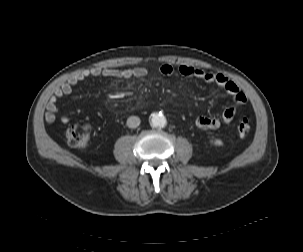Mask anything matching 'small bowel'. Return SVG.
<instances>
[{"label": "small bowel", "instance_id": "obj_1", "mask_svg": "<svg viewBox=\"0 0 303 252\" xmlns=\"http://www.w3.org/2000/svg\"><path fill=\"white\" fill-rule=\"evenodd\" d=\"M174 71L175 69L173 65L168 62L161 64L159 67V72L163 76H171ZM178 72L186 78H195L206 83L215 84L220 87L227 95L233 98V105L227 107L219 117L198 115L195 118V125L198 128L216 129L225 124H228L236 115L239 107L244 105L247 101V97L242 92V90L233 81L222 74L207 72L205 70L188 65H180L178 67ZM147 74L148 70L145 67H134L127 69L93 67L90 69L82 70L54 90L46 107L44 115L45 121L47 123H53L56 120L57 116H59V121L63 125L68 124L71 120L70 116L67 114L59 115L58 100L70 95L73 91V88L77 84L85 81L88 78H142Z\"/></svg>", "mask_w": 303, "mask_h": 252}]
</instances>
